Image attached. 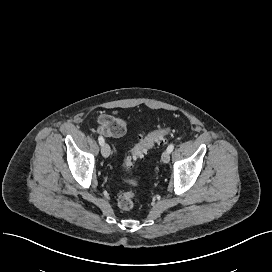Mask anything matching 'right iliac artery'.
Segmentation results:
<instances>
[{"instance_id":"82829eb1","label":"right iliac artery","mask_w":272,"mask_h":272,"mask_svg":"<svg viewBox=\"0 0 272 272\" xmlns=\"http://www.w3.org/2000/svg\"><path fill=\"white\" fill-rule=\"evenodd\" d=\"M98 141H99V144H100V145H103V143H104V138H103L102 136H99V137H98Z\"/></svg>"}]
</instances>
